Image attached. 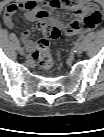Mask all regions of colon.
I'll list each match as a JSON object with an SVG mask.
<instances>
[{
	"mask_svg": "<svg viewBox=\"0 0 104 137\" xmlns=\"http://www.w3.org/2000/svg\"><path fill=\"white\" fill-rule=\"evenodd\" d=\"M36 21L42 30V37L37 41L33 57L42 68L49 69L53 65L49 40L58 38L61 31L51 23V19L46 11L37 12Z\"/></svg>",
	"mask_w": 104,
	"mask_h": 137,
	"instance_id": "5ec220e1",
	"label": "colon"
}]
</instances>
